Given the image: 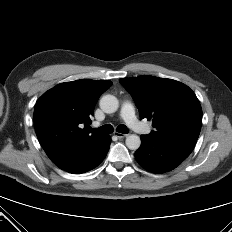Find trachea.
I'll list each match as a JSON object with an SVG mask.
<instances>
[{"label":"trachea","instance_id":"1","mask_svg":"<svg viewBox=\"0 0 232 232\" xmlns=\"http://www.w3.org/2000/svg\"><path fill=\"white\" fill-rule=\"evenodd\" d=\"M116 130L119 133H128V128L125 125H119ZM89 132L97 135H108L113 132V127L110 124H106L100 127L99 129L89 128Z\"/></svg>","mask_w":232,"mask_h":232}]
</instances>
